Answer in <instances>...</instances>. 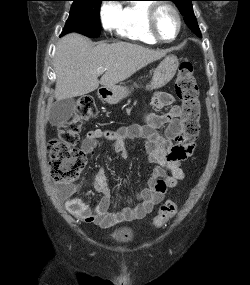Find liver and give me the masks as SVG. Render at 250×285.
Here are the masks:
<instances>
[{
    "instance_id": "1",
    "label": "liver",
    "mask_w": 250,
    "mask_h": 285,
    "mask_svg": "<svg viewBox=\"0 0 250 285\" xmlns=\"http://www.w3.org/2000/svg\"><path fill=\"white\" fill-rule=\"evenodd\" d=\"M166 51L137 44L101 42L94 45L77 33L62 37L56 45L54 70L57 101L95 91L99 84L113 88L149 63L161 59ZM106 69L100 81L97 72Z\"/></svg>"
}]
</instances>
